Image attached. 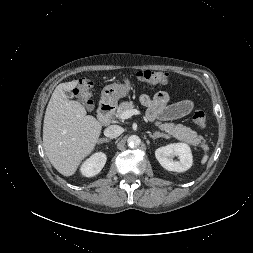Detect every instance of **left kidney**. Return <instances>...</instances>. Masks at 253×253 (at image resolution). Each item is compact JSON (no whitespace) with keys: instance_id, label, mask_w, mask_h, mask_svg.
Listing matches in <instances>:
<instances>
[{"instance_id":"left-kidney-1","label":"left kidney","mask_w":253,"mask_h":253,"mask_svg":"<svg viewBox=\"0 0 253 253\" xmlns=\"http://www.w3.org/2000/svg\"><path fill=\"white\" fill-rule=\"evenodd\" d=\"M155 156L161 166L169 171L184 172L193 163L191 149L186 143H173L160 147L155 151ZM178 157L179 161L174 160Z\"/></svg>"}]
</instances>
